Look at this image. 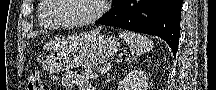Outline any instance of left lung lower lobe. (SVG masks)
<instances>
[{
    "label": "left lung lower lobe",
    "instance_id": "obj_1",
    "mask_svg": "<svg viewBox=\"0 0 216 90\" xmlns=\"http://www.w3.org/2000/svg\"><path fill=\"white\" fill-rule=\"evenodd\" d=\"M181 8L182 0H118L96 23L158 36L176 55Z\"/></svg>",
    "mask_w": 216,
    "mask_h": 90
}]
</instances>
